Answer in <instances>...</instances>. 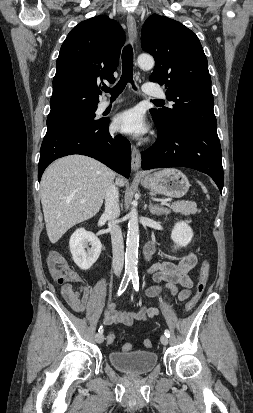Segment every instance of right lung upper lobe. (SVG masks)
Masks as SVG:
<instances>
[{
  "instance_id": "obj_1",
  "label": "right lung upper lobe",
  "mask_w": 253,
  "mask_h": 413,
  "mask_svg": "<svg viewBox=\"0 0 253 413\" xmlns=\"http://www.w3.org/2000/svg\"><path fill=\"white\" fill-rule=\"evenodd\" d=\"M125 41L122 27L106 15L80 22L63 42L53 79L48 116L97 108L99 85L110 83Z\"/></svg>"
}]
</instances>
